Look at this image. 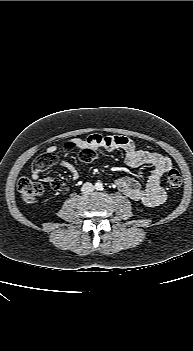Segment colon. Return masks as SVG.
Segmentation results:
<instances>
[{"mask_svg": "<svg viewBox=\"0 0 193 351\" xmlns=\"http://www.w3.org/2000/svg\"><path fill=\"white\" fill-rule=\"evenodd\" d=\"M95 156V151L89 147L81 149L79 151V159L83 162H91L94 160ZM56 161V152H45L37 157L33 164V169L41 172L42 170L53 166ZM167 184L171 189H177L181 186L182 176L177 169L172 168L169 170L167 175ZM51 186L55 190L61 192L67 191L65 184L58 179H54L51 182ZM18 191L24 203L34 204L42 195L43 187L39 183L34 182L28 178H22L18 182Z\"/></svg>", "mask_w": 193, "mask_h": 351, "instance_id": "colon-1", "label": "colon"}]
</instances>
